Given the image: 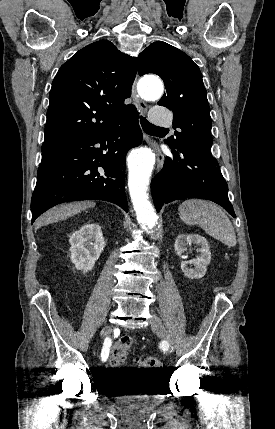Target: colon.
Returning a JSON list of instances; mask_svg holds the SVG:
<instances>
[{"label": "colon", "mask_w": 275, "mask_h": 429, "mask_svg": "<svg viewBox=\"0 0 275 429\" xmlns=\"http://www.w3.org/2000/svg\"><path fill=\"white\" fill-rule=\"evenodd\" d=\"M131 338H125L121 341H118L112 351H111V357H110V365L114 368H118L123 363L127 351L131 345ZM140 365L148 370L151 371H158L162 368V361L160 358L155 356H146L141 359H139Z\"/></svg>", "instance_id": "1"}]
</instances>
